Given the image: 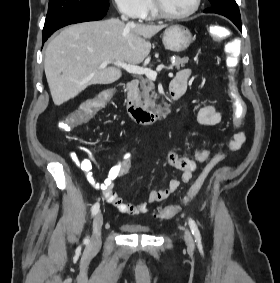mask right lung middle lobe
Segmentation results:
<instances>
[{
  "mask_svg": "<svg viewBox=\"0 0 280 283\" xmlns=\"http://www.w3.org/2000/svg\"><path fill=\"white\" fill-rule=\"evenodd\" d=\"M109 0H49L46 21L55 17L105 16Z\"/></svg>",
  "mask_w": 280,
  "mask_h": 283,
  "instance_id": "obj_1",
  "label": "right lung middle lobe"
}]
</instances>
